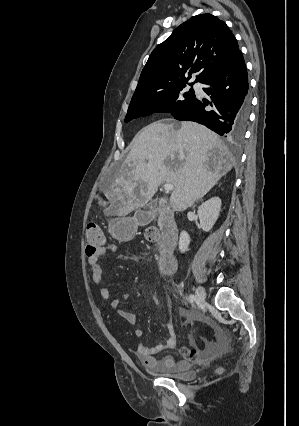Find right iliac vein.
Returning <instances> with one entry per match:
<instances>
[{
  "label": "right iliac vein",
  "mask_w": 299,
  "mask_h": 426,
  "mask_svg": "<svg viewBox=\"0 0 299 426\" xmlns=\"http://www.w3.org/2000/svg\"><path fill=\"white\" fill-rule=\"evenodd\" d=\"M196 299L199 304H202L206 299V292L202 286H198L196 289Z\"/></svg>",
  "instance_id": "obj_1"
}]
</instances>
